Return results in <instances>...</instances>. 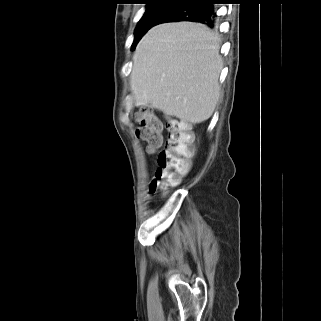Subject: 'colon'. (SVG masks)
<instances>
[{
    "label": "colon",
    "mask_w": 321,
    "mask_h": 321,
    "mask_svg": "<svg viewBox=\"0 0 321 321\" xmlns=\"http://www.w3.org/2000/svg\"><path fill=\"white\" fill-rule=\"evenodd\" d=\"M139 124L137 137L148 152H154L162 144L163 123L147 110L135 114ZM168 136L164 148L158 154L157 169L150 184V192L166 190L177 185L191 168L190 158L194 153L193 135L186 124L171 120L167 124Z\"/></svg>",
    "instance_id": "1"
}]
</instances>
